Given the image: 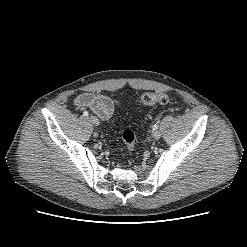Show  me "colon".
<instances>
[{
  "label": "colon",
  "instance_id": "obj_1",
  "mask_svg": "<svg viewBox=\"0 0 247 247\" xmlns=\"http://www.w3.org/2000/svg\"><path fill=\"white\" fill-rule=\"evenodd\" d=\"M175 99L166 93L160 92H147L142 94L141 103L146 106H152L156 104H172ZM122 140L127 146L130 152L134 151L135 137L131 130L126 129L122 132Z\"/></svg>",
  "mask_w": 247,
  "mask_h": 247
}]
</instances>
